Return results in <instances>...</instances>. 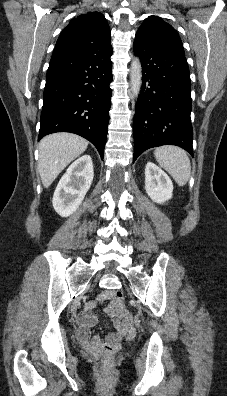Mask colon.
<instances>
[{"instance_id":"1","label":"colon","mask_w":227,"mask_h":396,"mask_svg":"<svg viewBox=\"0 0 227 396\" xmlns=\"http://www.w3.org/2000/svg\"><path fill=\"white\" fill-rule=\"evenodd\" d=\"M115 299L118 303H123L124 296H123L122 292H120V291L116 292ZM111 360H112L111 350L109 347H107V352H106V355L104 358V362H105V364L108 365L111 362Z\"/></svg>"}]
</instances>
